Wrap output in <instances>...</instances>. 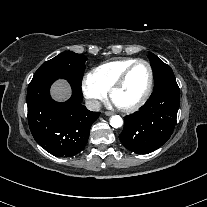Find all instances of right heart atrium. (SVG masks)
<instances>
[{
	"label": "right heart atrium",
	"mask_w": 207,
	"mask_h": 207,
	"mask_svg": "<svg viewBox=\"0 0 207 207\" xmlns=\"http://www.w3.org/2000/svg\"><path fill=\"white\" fill-rule=\"evenodd\" d=\"M82 90L93 107H98L100 101L104 100L107 92L100 87L90 75L82 80Z\"/></svg>",
	"instance_id": "obj_1"
}]
</instances>
